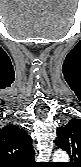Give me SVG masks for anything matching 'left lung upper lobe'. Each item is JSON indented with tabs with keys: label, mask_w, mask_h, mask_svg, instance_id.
I'll use <instances>...</instances> for the list:
<instances>
[{
	"label": "left lung upper lobe",
	"mask_w": 81,
	"mask_h": 167,
	"mask_svg": "<svg viewBox=\"0 0 81 167\" xmlns=\"http://www.w3.org/2000/svg\"><path fill=\"white\" fill-rule=\"evenodd\" d=\"M56 145L65 150L71 162L69 167L80 166L81 160V120L71 119L65 126L57 129Z\"/></svg>",
	"instance_id": "5c2ea615"
}]
</instances>
